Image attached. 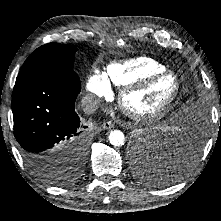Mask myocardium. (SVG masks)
Instances as JSON below:
<instances>
[{
	"instance_id": "1",
	"label": "myocardium",
	"mask_w": 221,
	"mask_h": 221,
	"mask_svg": "<svg viewBox=\"0 0 221 221\" xmlns=\"http://www.w3.org/2000/svg\"><path fill=\"white\" fill-rule=\"evenodd\" d=\"M161 78H170L174 82V89L172 93L167 97V99L160 104L157 108L150 110V111H138L131 108L128 105V98L133 94L142 91L146 87L150 86L156 80ZM181 89V83L179 78L170 71H162L153 73L146 78L142 79L139 82L129 84L122 88L118 96V104L121 110L133 120L136 121H147V120H154L162 115H164L168 109L174 104L176 101Z\"/></svg>"
}]
</instances>
